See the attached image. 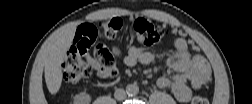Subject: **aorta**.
I'll list each match as a JSON object with an SVG mask.
<instances>
[{
  "instance_id": "obj_1",
  "label": "aorta",
  "mask_w": 252,
  "mask_h": 104,
  "mask_svg": "<svg viewBox=\"0 0 252 104\" xmlns=\"http://www.w3.org/2000/svg\"><path fill=\"white\" fill-rule=\"evenodd\" d=\"M126 93L128 96H136L139 93V87L136 84H128L126 86Z\"/></svg>"
}]
</instances>
